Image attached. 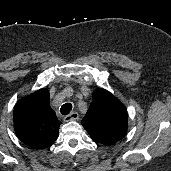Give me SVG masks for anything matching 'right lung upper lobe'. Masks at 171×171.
I'll return each instance as SVG.
<instances>
[{
    "instance_id": "1",
    "label": "right lung upper lobe",
    "mask_w": 171,
    "mask_h": 171,
    "mask_svg": "<svg viewBox=\"0 0 171 171\" xmlns=\"http://www.w3.org/2000/svg\"><path fill=\"white\" fill-rule=\"evenodd\" d=\"M18 138L34 149L51 146L59 134L61 122L49 105V92L41 89L20 99L13 112Z\"/></svg>"
}]
</instances>
